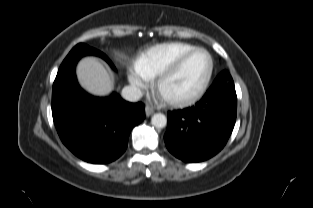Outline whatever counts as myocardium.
Listing matches in <instances>:
<instances>
[{
    "instance_id": "myocardium-1",
    "label": "myocardium",
    "mask_w": 313,
    "mask_h": 208,
    "mask_svg": "<svg viewBox=\"0 0 313 208\" xmlns=\"http://www.w3.org/2000/svg\"><path fill=\"white\" fill-rule=\"evenodd\" d=\"M196 53H204L207 56L208 61H209V67H208L206 76L204 80L202 81L201 85L199 86V88L193 94L189 96H185V97H171V96L166 95L164 92V87L166 83L170 81L173 77H175L179 73V71L182 69L184 64L187 62V60L191 58L193 55H195ZM213 70H214V62L209 52L203 48H195L183 54L182 56H180L170 68H168L167 70H165L163 73H161L158 76L154 85L155 92L165 103L171 106H175V107L189 106L197 102L205 94L210 84V81L213 75Z\"/></svg>"
}]
</instances>
